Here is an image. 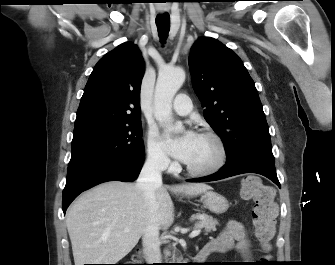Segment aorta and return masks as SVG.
Instances as JSON below:
<instances>
[{
  "instance_id": "762f6f07",
  "label": "aorta",
  "mask_w": 335,
  "mask_h": 265,
  "mask_svg": "<svg viewBox=\"0 0 335 265\" xmlns=\"http://www.w3.org/2000/svg\"><path fill=\"white\" fill-rule=\"evenodd\" d=\"M185 80L182 68H164L159 71L155 87V118L160 124L172 122V101ZM178 128H182L178 125Z\"/></svg>"
}]
</instances>
